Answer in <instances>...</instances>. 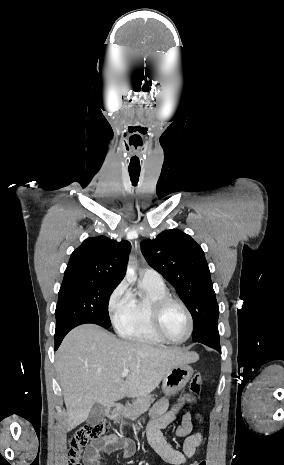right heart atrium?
<instances>
[{"label": "right heart atrium", "mask_w": 284, "mask_h": 465, "mask_svg": "<svg viewBox=\"0 0 284 465\" xmlns=\"http://www.w3.org/2000/svg\"><path fill=\"white\" fill-rule=\"evenodd\" d=\"M132 301L133 296L128 284L126 281H122L107 299L106 309L110 319L115 322L128 309Z\"/></svg>", "instance_id": "obj_1"}]
</instances>
